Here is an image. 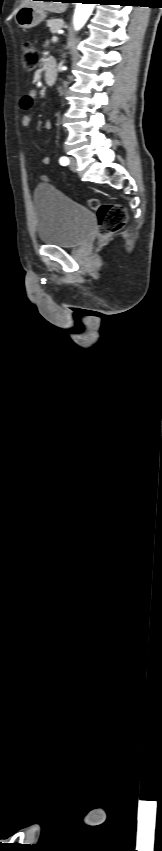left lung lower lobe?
Segmentation results:
<instances>
[{
    "mask_svg": "<svg viewBox=\"0 0 162 851\" xmlns=\"http://www.w3.org/2000/svg\"><path fill=\"white\" fill-rule=\"evenodd\" d=\"M85 1L90 2V3H94V2H97L98 0H85Z\"/></svg>",
    "mask_w": 162,
    "mask_h": 851,
    "instance_id": "0a47b994",
    "label": "left lung lower lobe"
}]
</instances>
